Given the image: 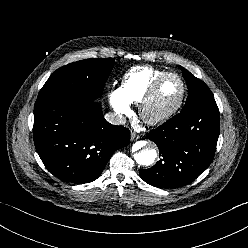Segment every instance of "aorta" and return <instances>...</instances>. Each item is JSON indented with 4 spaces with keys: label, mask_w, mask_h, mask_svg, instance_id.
Segmentation results:
<instances>
[{
    "label": "aorta",
    "mask_w": 248,
    "mask_h": 248,
    "mask_svg": "<svg viewBox=\"0 0 248 248\" xmlns=\"http://www.w3.org/2000/svg\"><path fill=\"white\" fill-rule=\"evenodd\" d=\"M148 146L146 141H138L133 145L135 151L133 157L139 165L149 166L154 163L157 157L156 150Z\"/></svg>",
    "instance_id": "762f6f07"
}]
</instances>
